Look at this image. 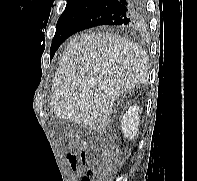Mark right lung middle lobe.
<instances>
[{"label":"right lung middle lobe","mask_w":197,"mask_h":181,"mask_svg":"<svg viewBox=\"0 0 197 181\" xmlns=\"http://www.w3.org/2000/svg\"><path fill=\"white\" fill-rule=\"evenodd\" d=\"M88 9V7H78L71 10H65L56 25V32L52 40L50 55L51 58L59 46L67 39L69 32L78 20V18ZM115 27V26H114ZM118 28V27H117Z\"/></svg>","instance_id":"1"}]
</instances>
